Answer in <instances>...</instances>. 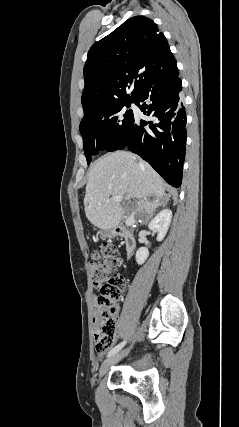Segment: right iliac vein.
<instances>
[{
    "mask_svg": "<svg viewBox=\"0 0 239 427\" xmlns=\"http://www.w3.org/2000/svg\"><path fill=\"white\" fill-rule=\"evenodd\" d=\"M128 352H129V349H125V350L121 351L120 353L113 355V356L109 357L108 359H106L103 362V364L101 365L99 375L103 376L109 370V368L112 365H114L115 363L120 361L125 355L128 354Z\"/></svg>",
    "mask_w": 239,
    "mask_h": 427,
    "instance_id": "1",
    "label": "right iliac vein"
}]
</instances>
